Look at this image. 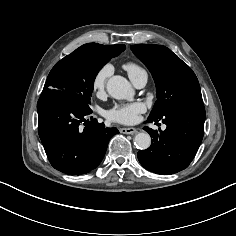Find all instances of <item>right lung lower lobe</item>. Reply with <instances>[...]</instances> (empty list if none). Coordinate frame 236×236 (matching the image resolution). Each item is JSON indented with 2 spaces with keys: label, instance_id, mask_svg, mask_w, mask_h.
Listing matches in <instances>:
<instances>
[{
  "label": "right lung lower lobe",
  "instance_id": "98d812e1",
  "mask_svg": "<svg viewBox=\"0 0 236 236\" xmlns=\"http://www.w3.org/2000/svg\"><path fill=\"white\" fill-rule=\"evenodd\" d=\"M38 132L51 165L68 175H81L102 161L108 142L119 133L106 128L70 94L60 90L43 91L38 104ZM82 123L85 125L82 128Z\"/></svg>",
  "mask_w": 236,
  "mask_h": 236
}]
</instances>
